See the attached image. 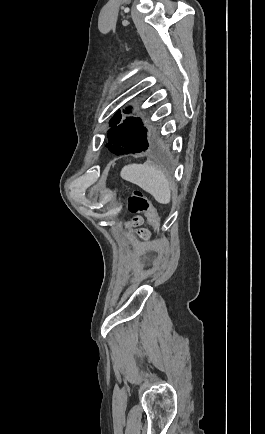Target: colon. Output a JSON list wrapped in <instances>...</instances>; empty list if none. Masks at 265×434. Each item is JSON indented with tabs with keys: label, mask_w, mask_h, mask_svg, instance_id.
Masks as SVG:
<instances>
[{
	"label": "colon",
	"mask_w": 265,
	"mask_h": 434,
	"mask_svg": "<svg viewBox=\"0 0 265 434\" xmlns=\"http://www.w3.org/2000/svg\"><path fill=\"white\" fill-rule=\"evenodd\" d=\"M126 206L131 213H143L154 229H159L161 216L146 194L141 191H133L127 198Z\"/></svg>",
	"instance_id": "colon-1"
}]
</instances>
